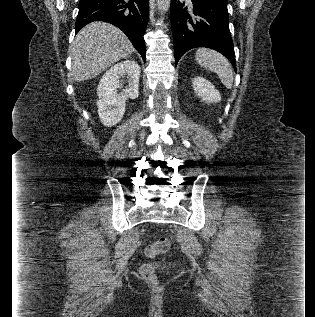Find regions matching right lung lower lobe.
<instances>
[{"mask_svg":"<svg viewBox=\"0 0 315 317\" xmlns=\"http://www.w3.org/2000/svg\"><path fill=\"white\" fill-rule=\"evenodd\" d=\"M75 24L76 33L93 21L111 23L121 29L146 60L145 33L149 0H80Z\"/></svg>","mask_w":315,"mask_h":317,"instance_id":"obj_1","label":"right lung lower lobe"}]
</instances>
